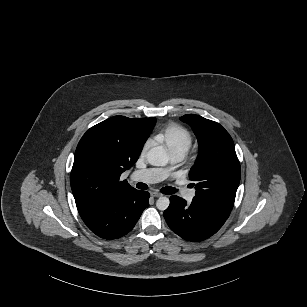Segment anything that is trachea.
<instances>
[{"label": "trachea", "instance_id": "obj_1", "mask_svg": "<svg viewBox=\"0 0 307 307\" xmlns=\"http://www.w3.org/2000/svg\"><path fill=\"white\" fill-rule=\"evenodd\" d=\"M136 187L139 189H143V190H146L148 188L146 184L141 183V182L137 183ZM160 191L163 194H174L175 192H177V189L174 187H163Z\"/></svg>", "mask_w": 307, "mask_h": 307}]
</instances>
